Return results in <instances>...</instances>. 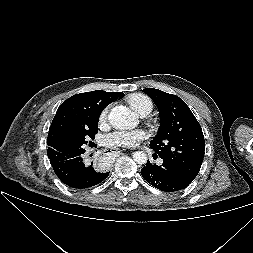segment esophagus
<instances>
[{
    "instance_id": "1",
    "label": "esophagus",
    "mask_w": 253,
    "mask_h": 253,
    "mask_svg": "<svg viewBox=\"0 0 253 253\" xmlns=\"http://www.w3.org/2000/svg\"><path fill=\"white\" fill-rule=\"evenodd\" d=\"M107 154L119 155L121 154V150L118 148H110L106 150Z\"/></svg>"
}]
</instances>
